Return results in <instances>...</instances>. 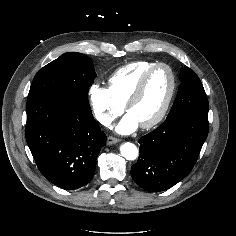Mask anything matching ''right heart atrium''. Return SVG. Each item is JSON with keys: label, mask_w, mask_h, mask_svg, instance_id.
Returning <instances> with one entry per match:
<instances>
[{"label": "right heart atrium", "mask_w": 236, "mask_h": 236, "mask_svg": "<svg viewBox=\"0 0 236 236\" xmlns=\"http://www.w3.org/2000/svg\"><path fill=\"white\" fill-rule=\"evenodd\" d=\"M89 102L95 119L103 126H109L124 110L109 88L99 84L91 85Z\"/></svg>", "instance_id": "d8ad5b80"}]
</instances>
